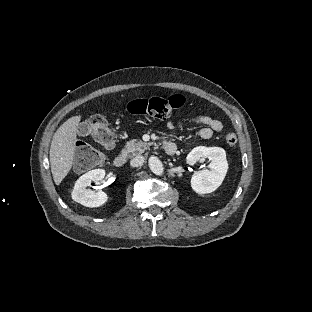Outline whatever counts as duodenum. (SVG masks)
<instances>
[{
	"label": "duodenum",
	"instance_id": "duodenum-1",
	"mask_svg": "<svg viewBox=\"0 0 312 312\" xmlns=\"http://www.w3.org/2000/svg\"><path fill=\"white\" fill-rule=\"evenodd\" d=\"M162 148L164 152L167 153L168 155H175L177 153V146L172 142L168 141L164 142L162 144ZM126 161H127V153L122 152L114 158L113 163L115 167L122 168L125 166Z\"/></svg>",
	"mask_w": 312,
	"mask_h": 312
}]
</instances>
